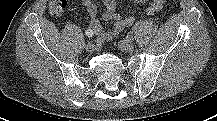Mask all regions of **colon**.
<instances>
[{"mask_svg":"<svg viewBox=\"0 0 217 121\" xmlns=\"http://www.w3.org/2000/svg\"><path fill=\"white\" fill-rule=\"evenodd\" d=\"M67 6V0H52L49 4V11L54 15H60Z\"/></svg>","mask_w":217,"mask_h":121,"instance_id":"obj_1","label":"colon"}]
</instances>
